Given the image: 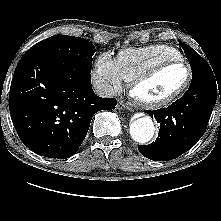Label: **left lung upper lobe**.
Here are the masks:
<instances>
[{
    "label": "left lung upper lobe",
    "instance_id": "5c2ea615",
    "mask_svg": "<svg viewBox=\"0 0 221 221\" xmlns=\"http://www.w3.org/2000/svg\"><path fill=\"white\" fill-rule=\"evenodd\" d=\"M181 46L189 59V63L192 69V83L201 81L215 74L213 73L214 70L212 71L206 60L190 46L184 43H181Z\"/></svg>",
    "mask_w": 221,
    "mask_h": 221
}]
</instances>
